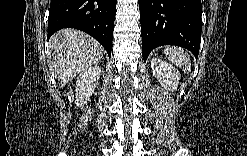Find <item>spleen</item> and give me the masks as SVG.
<instances>
[{"mask_svg": "<svg viewBox=\"0 0 247 156\" xmlns=\"http://www.w3.org/2000/svg\"><path fill=\"white\" fill-rule=\"evenodd\" d=\"M164 52L169 61L183 69L184 72H190L191 60L182 48L174 46L166 47Z\"/></svg>", "mask_w": 247, "mask_h": 156, "instance_id": "3e777b00", "label": "spleen"}]
</instances>
